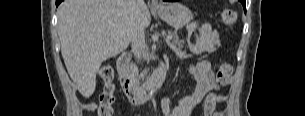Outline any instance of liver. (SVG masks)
Instances as JSON below:
<instances>
[{
  "mask_svg": "<svg viewBox=\"0 0 305 116\" xmlns=\"http://www.w3.org/2000/svg\"><path fill=\"white\" fill-rule=\"evenodd\" d=\"M57 16L65 66L85 98L95 91L101 64L128 47L137 25L144 32L151 22L145 3L135 18L130 0H64Z\"/></svg>",
  "mask_w": 305,
  "mask_h": 116,
  "instance_id": "1",
  "label": "liver"
}]
</instances>
